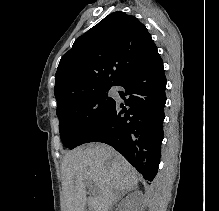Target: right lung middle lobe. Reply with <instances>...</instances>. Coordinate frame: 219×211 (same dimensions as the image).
I'll list each match as a JSON object with an SVG mask.
<instances>
[{
	"instance_id": "1",
	"label": "right lung middle lobe",
	"mask_w": 219,
	"mask_h": 211,
	"mask_svg": "<svg viewBox=\"0 0 219 211\" xmlns=\"http://www.w3.org/2000/svg\"><path fill=\"white\" fill-rule=\"evenodd\" d=\"M109 89L92 91L58 104L60 137L67 148L81 145L80 141L89 129L110 112L115 100L108 97Z\"/></svg>"
}]
</instances>
